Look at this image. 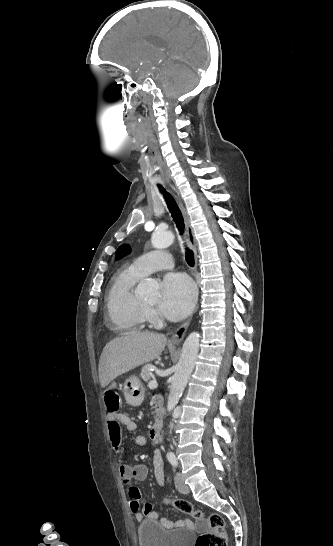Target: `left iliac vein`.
<instances>
[{
	"instance_id": "obj_1",
	"label": "left iliac vein",
	"mask_w": 333,
	"mask_h": 546,
	"mask_svg": "<svg viewBox=\"0 0 333 546\" xmlns=\"http://www.w3.org/2000/svg\"><path fill=\"white\" fill-rule=\"evenodd\" d=\"M175 487L181 493H188L189 487L184 483L182 474L177 472L175 475Z\"/></svg>"
}]
</instances>
